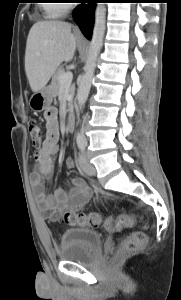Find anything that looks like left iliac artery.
<instances>
[{
	"label": "left iliac artery",
	"instance_id": "left-iliac-artery-1",
	"mask_svg": "<svg viewBox=\"0 0 181 300\" xmlns=\"http://www.w3.org/2000/svg\"><path fill=\"white\" fill-rule=\"evenodd\" d=\"M77 144H78V147L81 151H84L85 150V147H86V143H85V140L82 138V137H78L77 138Z\"/></svg>",
	"mask_w": 181,
	"mask_h": 300
}]
</instances>
